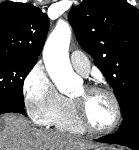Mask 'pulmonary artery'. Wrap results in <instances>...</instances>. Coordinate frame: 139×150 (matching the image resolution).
Returning <instances> with one entry per match:
<instances>
[{
  "mask_svg": "<svg viewBox=\"0 0 139 150\" xmlns=\"http://www.w3.org/2000/svg\"><path fill=\"white\" fill-rule=\"evenodd\" d=\"M71 63L74 69L82 75H88L90 72V62L85 54L80 51H73L71 53Z\"/></svg>",
  "mask_w": 139,
  "mask_h": 150,
  "instance_id": "e3ab8cb5",
  "label": "pulmonary artery"
}]
</instances>
